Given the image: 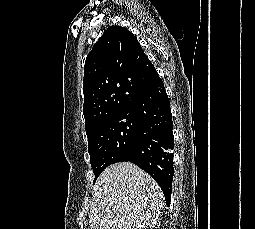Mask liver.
Wrapping results in <instances>:
<instances>
[{
  "mask_svg": "<svg viewBox=\"0 0 255 229\" xmlns=\"http://www.w3.org/2000/svg\"><path fill=\"white\" fill-rule=\"evenodd\" d=\"M90 229H142L156 224L164 195L155 180L131 162L115 163L96 181Z\"/></svg>",
  "mask_w": 255,
  "mask_h": 229,
  "instance_id": "1",
  "label": "liver"
}]
</instances>
